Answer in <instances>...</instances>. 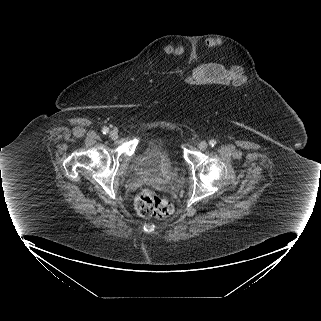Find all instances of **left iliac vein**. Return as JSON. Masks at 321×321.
<instances>
[{"mask_svg": "<svg viewBox=\"0 0 321 321\" xmlns=\"http://www.w3.org/2000/svg\"><path fill=\"white\" fill-rule=\"evenodd\" d=\"M207 147H208V144H207V142H205V141H202V142H200V143L198 144V148H199L200 150H205Z\"/></svg>", "mask_w": 321, "mask_h": 321, "instance_id": "4c4485c4", "label": "left iliac vein"}]
</instances>
